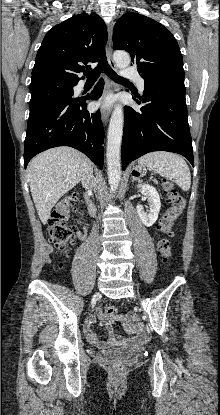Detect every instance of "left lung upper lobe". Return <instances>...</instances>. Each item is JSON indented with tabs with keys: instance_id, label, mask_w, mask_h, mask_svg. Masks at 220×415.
<instances>
[{
	"instance_id": "obj_1",
	"label": "left lung upper lobe",
	"mask_w": 220,
	"mask_h": 415,
	"mask_svg": "<svg viewBox=\"0 0 220 415\" xmlns=\"http://www.w3.org/2000/svg\"><path fill=\"white\" fill-rule=\"evenodd\" d=\"M113 47L129 52L143 79L184 80L183 58L174 36L162 24L138 13H126L115 24Z\"/></svg>"
}]
</instances>
